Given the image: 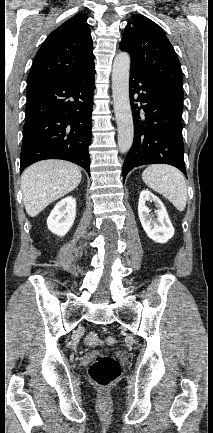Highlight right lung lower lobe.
Instances as JSON below:
<instances>
[{"label": "right lung lower lobe", "instance_id": "98d812e1", "mask_svg": "<svg viewBox=\"0 0 213 433\" xmlns=\"http://www.w3.org/2000/svg\"><path fill=\"white\" fill-rule=\"evenodd\" d=\"M94 75L93 66L62 81L28 82L20 172L40 160L64 159L90 175Z\"/></svg>", "mask_w": 213, "mask_h": 433}]
</instances>
